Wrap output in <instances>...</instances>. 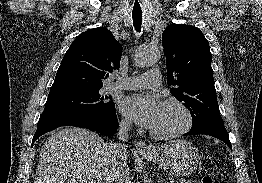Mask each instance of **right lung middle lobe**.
<instances>
[{"instance_id": "1", "label": "right lung middle lobe", "mask_w": 262, "mask_h": 183, "mask_svg": "<svg viewBox=\"0 0 262 183\" xmlns=\"http://www.w3.org/2000/svg\"><path fill=\"white\" fill-rule=\"evenodd\" d=\"M67 89L50 92L45 103L46 109H76L82 111H104L115 108L111 96L100 95V89Z\"/></svg>"}]
</instances>
